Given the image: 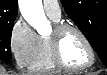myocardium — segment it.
<instances>
[{"label": "myocardium", "mask_w": 107, "mask_h": 75, "mask_svg": "<svg viewBox=\"0 0 107 75\" xmlns=\"http://www.w3.org/2000/svg\"><path fill=\"white\" fill-rule=\"evenodd\" d=\"M67 31H74L79 35V37L82 39L84 44L87 47V50L89 52V61L81 66H72L69 65L63 58L62 52H61V38L63 34ZM50 41V47H51V57L54 62V64L63 70L67 71H84L86 69H89L96 60V54L94 47L86 34L76 25L69 24V23H59L55 26L54 31L52 35L49 37Z\"/></svg>", "instance_id": "obj_1"}]
</instances>
